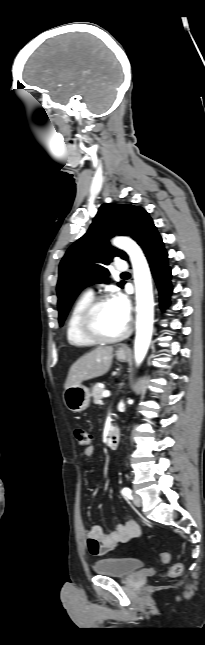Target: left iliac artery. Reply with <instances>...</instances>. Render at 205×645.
Here are the masks:
<instances>
[{
	"label": "left iliac artery",
	"mask_w": 205,
	"mask_h": 645,
	"mask_svg": "<svg viewBox=\"0 0 205 645\" xmlns=\"http://www.w3.org/2000/svg\"><path fill=\"white\" fill-rule=\"evenodd\" d=\"M122 493H123L125 496L129 497V498H131V497H132V496H131L132 491H131L128 487L123 488Z\"/></svg>",
	"instance_id": "left-iliac-artery-1"
}]
</instances>
